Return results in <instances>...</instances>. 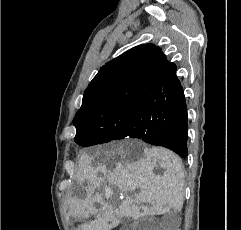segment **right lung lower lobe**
<instances>
[{"instance_id": "obj_1", "label": "right lung lower lobe", "mask_w": 241, "mask_h": 230, "mask_svg": "<svg viewBox=\"0 0 241 230\" xmlns=\"http://www.w3.org/2000/svg\"><path fill=\"white\" fill-rule=\"evenodd\" d=\"M144 116L150 119L147 129L126 134L128 137L169 148L183 158L187 156V106L174 63L167 68L160 93L146 107Z\"/></svg>"}]
</instances>
